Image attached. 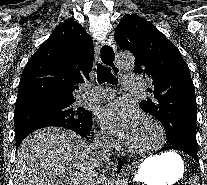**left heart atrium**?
Masks as SVG:
<instances>
[{
	"label": "left heart atrium",
	"instance_id": "obj_1",
	"mask_svg": "<svg viewBox=\"0 0 207 185\" xmlns=\"http://www.w3.org/2000/svg\"><path fill=\"white\" fill-rule=\"evenodd\" d=\"M97 117L107 132L127 140L145 122L141 110L124 100H116L102 107Z\"/></svg>",
	"mask_w": 207,
	"mask_h": 185
}]
</instances>
